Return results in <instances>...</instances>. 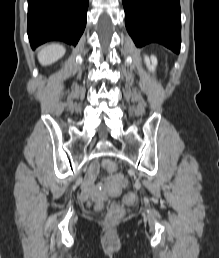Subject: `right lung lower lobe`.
Masks as SVG:
<instances>
[{"instance_id": "98d812e1", "label": "right lung lower lobe", "mask_w": 219, "mask_h": 258, "mask_svg": "<svg viewBox=\"0 0 219 258\" xmlns=\"http://www.w3.org/2000/svg\"><path fill=\"white\" fill-rule=\"evenodd\" d=\"M89 0H28L27 33L32 49L49 41L76 46L86 25Z\"/></svg>"}]
</instances>
